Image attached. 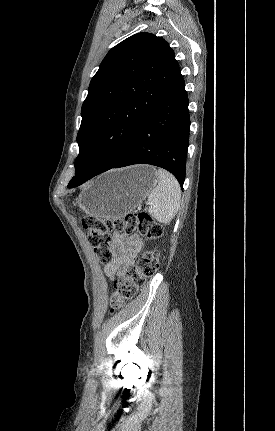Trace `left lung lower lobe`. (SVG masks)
<instances>
[{"mask_svg":"<svg viewBox=\"0 0 275 431\" xmlns=\"http://www.w3.org/2000/svg\"><path fill=\"white\" fill-rule=\"evenodd\" d=\"M188 104L185 82L178 69L170 88L124 153L114 164L96 175L112 168L151 164L171 172L182 188L190 132ZM91 178L92 175L86 173L76 174L68 187H77Z\"/></svg>","mask_w":275,"mask_h":431,"instance_id":"0a47b994","label":"left lung lower lobe"}]
</instances>
